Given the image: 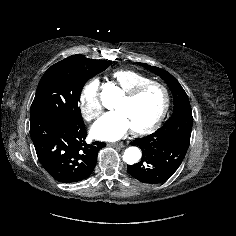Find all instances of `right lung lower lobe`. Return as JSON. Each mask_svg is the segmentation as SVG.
I'll use <instances>...</instances> for the list:
<instances>
[{"instance_id":"98d812e1","label":"right lung lower lobe","mask_w":236,"mask_h":236,"mask_svg":"<svg viewBox=\"0 0 236 236\" xmlns=\"http://www.w3.org/2000/svg\"><path fill=\"white\" fill-rule=\"evenodd\" d=\"M30 135L43 168L58 182L89 177L103 142L87 144L85 125L53 118L30 120Z\"/></svg>"}]
</instances>
